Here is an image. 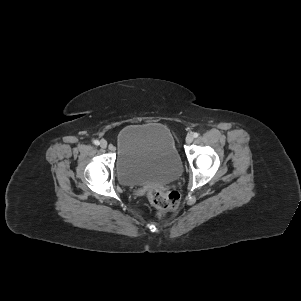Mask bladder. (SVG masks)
Wrapping results in <instances>:
<instances>
[{
  "label": "bladder",
  "instance_id": "bladder-1",
  "mask_svg": "<svg viewBox=\"0 0 301 301\" xmlns=\"http://www.w3.org/2000/svg\"><path fill=\"white\" fill-rule=\"evenodd\" d=\"M115 169L119 182L126 186L175 181L182 163L170 130L159 123L122 128L116 139Z\"/></svg>",
  "mask_w": 301,
  "mask_h": 301
}]
</instances>
